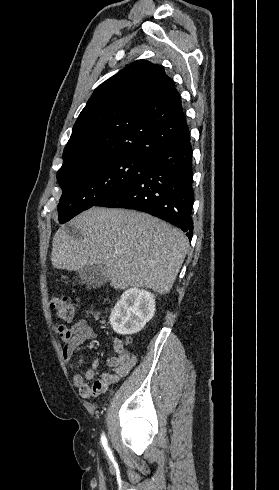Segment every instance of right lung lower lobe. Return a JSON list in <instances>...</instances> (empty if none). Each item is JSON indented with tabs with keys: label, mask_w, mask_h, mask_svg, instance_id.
Wrapping results in <instances>:
<instances>
[{
	"label": "right lung lower lobe",
	"mask_w": 279,
	"mask_h": 490,
	"mask_svg": "<svg viewBox=\"0 0 279 490\" xmlns=\"http://www.w3.org/2000/svg\"><path fill=\"white\" fill-rule=\"evenodd\" d=\"M150 161L140 177L108 194L95 206L149 213L180 228L191 240L194 191L190 138Z\"/></svg>",
	"instance_id": "98d812e1"
}]
</instances>
